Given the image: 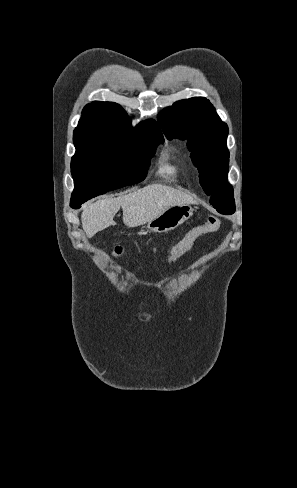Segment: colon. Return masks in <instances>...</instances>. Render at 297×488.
<instances>
[{
    "label": "colon",
    "instance_id": "5ec220e1",
    "mask_svg": "<svg viewBox=\"0 0 297 488\" xmlns=\"http://www.w3.org/2000/svg\"><path fill=\"white\" fill-rule=\"evenodd\" d=\"M219 226V221L218 218L210 215L207 219V221L202 224L193 227L190 229L183 237L182 239L174 246L172 249L168 252L166 260L168 263H173L176 260H178L180 257H182L188 250L191 249V247L194 245V243L197 241V239L212 231L215 230ZM114 253L116 255H120L122 253L121 248H115Z\"/></svg>",
    "mask_w": 297,
    "mask_h": 488
}]
</instances>
